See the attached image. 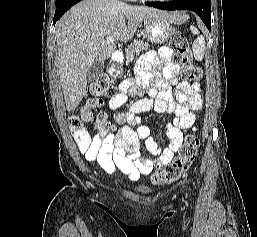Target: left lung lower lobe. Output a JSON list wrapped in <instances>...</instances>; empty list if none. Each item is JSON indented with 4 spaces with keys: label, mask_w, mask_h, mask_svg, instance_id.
Here are the masks:
<instances>
[{
    "label": "left lung lower lobe",
    "mask_w": 257,
    "mask_h": 237,
    "mask_svg": "<svg viewBox=\"0 0 257 237\" xmlns=\"http://www.w3.org/2000/svg\"><path fill=\"white\" fill-rule=\"evenodd\" d=\"M211 0H172L170 2H146L147 6H152L162 10H190L194 11L202 19L206 27L211 28Z\"/></svg>",
    "instance_id": "1"
}]
</instances>
